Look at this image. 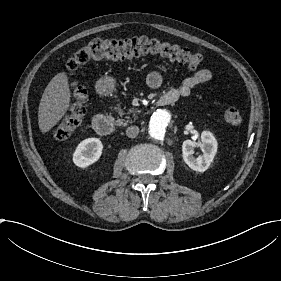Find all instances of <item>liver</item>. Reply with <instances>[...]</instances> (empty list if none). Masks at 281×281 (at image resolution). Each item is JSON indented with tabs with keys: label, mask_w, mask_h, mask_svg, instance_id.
I'll return each instance as SVG.
<instances>
[{
	"label": "liver",
	"mask_w": 281,
	"mask_h": 281,
	"mask_svg": "<svg viewBox=\"0 0 281 281\" xmlns=\"http://www.w3.org/2000/svg\"><path fill=\"white\" fill-rule=\"evenodd\" d=\"M71 101L69 75L62 71L52 78L41 98L38 124L42 134H47L66 116Z\"/></svg>",
	"instance_id": "liver-1"
}]
</instances>
